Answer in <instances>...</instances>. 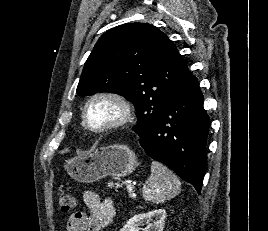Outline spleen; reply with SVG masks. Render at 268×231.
<instances>
[{
	"mask_svg": "<svg viewBox=\"0 0 268 231\" xmlns=\"http://www.w3.org/2000/svg\"><path fill=\"white\" fill-rule=\"evenodd\" d=\"M181 182L165 165L157 161L151 163V175L142 188L143 198L156 204L177 196Z\"/></svg>",
	"mask_w": 268,
	"mask_h": 231,
	"instance_id": "1",
	"label": "spleen"
}]
</instances>
